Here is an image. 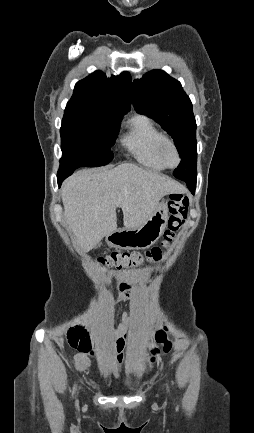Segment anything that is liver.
<instances>
[{
	"label": "liver",
	"instance_id": "liver-1",
	"mask_svg": "<svg viewBox=\"0 0 254 433\" xmlns=\"http://www.w3.org/2000/svg\"><path fill=\"white\" fill-rule=\"evenodd\" d=\"M183 188L171 178L133 163L70 177L62 188L64 215L81 248L88 252L117 230L116 208L125 228L141 226L167 194Z\"/></svg>",
	"mask_w": 254,
	"mask_h": 433
}]
</instances>
